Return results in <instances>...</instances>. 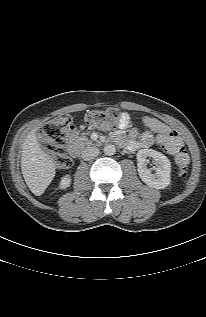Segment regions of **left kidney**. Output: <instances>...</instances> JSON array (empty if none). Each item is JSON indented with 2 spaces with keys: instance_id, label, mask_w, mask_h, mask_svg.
I'll list each match as a JSON object with an SVG mask.
<instances>
[{
  "instance_id": "5707ae66",
  "label": "left kidney",
  "mask_w": 206,
  "mask_h": 317,
  "mask_svg": "<svg viewBox=\"0 0 206 317\" xmlns=\"http://www.w3.org/2000/svg\"><path fill=\"white\" fill-rule=\"evenodd\" d=\"M148 157L155 161L154 174L147 168ZM137 161L138 174L145 184L156 189H164L170 184L171 163L164 154L152 149H141L137 153Z\"/></svg>"
}]
</instances>
